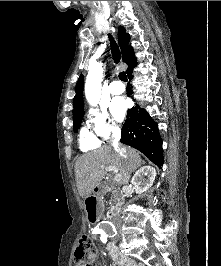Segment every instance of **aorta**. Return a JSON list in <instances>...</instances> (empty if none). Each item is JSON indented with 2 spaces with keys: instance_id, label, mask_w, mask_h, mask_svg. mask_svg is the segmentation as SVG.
Segmentation results:
<instances>
[{
  "instance_id": "1",
  "label": "aorta",
  "mask_w": 221,
  "mask_h": 266,
  "mask_svg": "<svg viewBox=\"0 0 221 266\" xmlns=\"http://www.w3.org/2000/svg\"><path fill=\"white\" fill-rule=\"evenodd\" d=\"M103 68L101 63L93 64L89 67L85 81V96L91 106H96L101 95V81Z\"/></svg>"
}]
</instances>
